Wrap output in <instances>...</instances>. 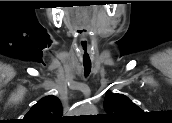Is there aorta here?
<instances>
[{
	"label": "aorta",
	"mask_w": 172,
	"mask_h": 123,
	"mask_svg": "<svg viewBox=\"0 0 172 123\" xmlns=\"http://www.w3.org/2000/svg\"><path fill=\"white\" fill-rule=\"evenodd\" d=\"M83 110H84L85 113H89V114H93V113L96 112V108L92 104H85L83 106Z\"/></svg>",
	"instance_id": "1"
}]
</instances>
